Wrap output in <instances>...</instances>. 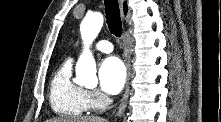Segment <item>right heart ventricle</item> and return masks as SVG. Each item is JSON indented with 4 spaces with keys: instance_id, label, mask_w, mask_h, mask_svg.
Wrapping results in <instances>:
<instances>
[{
    "instance_id": "right-heart-ventricle-1",
    "label": "right heart ventricle",
    "mask_w": 221,
    "mask_h": 122,
    "mask_svg": "<svg viewBox=\"0 0 221 122\" xmlns=\"http://www.w3.org/2000/svg\"><path fill=\"white\" fill-rule=\"evenodd\" d=\"M49 100L52 110L62 116L76 117L90 109L85 90L73 80L71 59L63 62L53 75Z\"/></svg>"
}]
</instances>
